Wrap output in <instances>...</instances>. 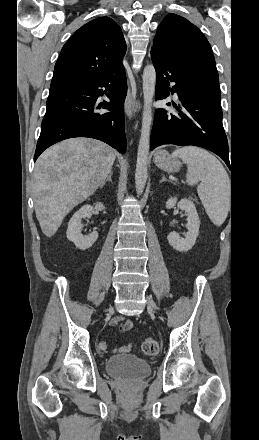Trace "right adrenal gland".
<instances>
[{"label":"right adrenal gland","instance_id":"2a0ac1e0","mask_svg":"<svg viewBox=\"0 0 259 440\" xmlns=\"http://www.w3.org/2000/svg\"><path fill=\"white\" fill-rule=\"evenodd\" d=\"M112 175H113V172L111 171L110 173H109V175L107 176V178L105 179V181L103 182V185H105L106 184V182H112ZM102 185V186H103Z\"/></svg>","mask_w":259,"mask_h":440}]
</instances>
